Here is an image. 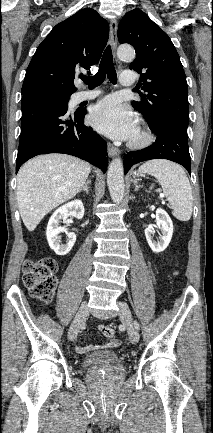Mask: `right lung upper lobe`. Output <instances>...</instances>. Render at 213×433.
I'll return each mask as SVG.
<instances>
[{"label":"right lung upper lobe","mask_w":213,"mask_h":433,"mask_svg":"<svg viewBox=\"0 0 213 433\" xmlns=\"http://www.w3.org/2000/svg\"><path fill=\"white\" fill-rule=\"evenodd\" d=\"M109 36V25L85 8L57 24L38 46L26 71L22 95H71L79 68L96 64Z\"/></svg>","instance_id":"1"}]
</instances>
